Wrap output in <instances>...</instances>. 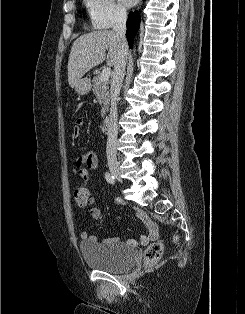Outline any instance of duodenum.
<instances>
[{"label":"duodenum","instance_id":"obj_1","mask_svg":"<svg viewBox=\"0 0 245 314\" xmlns=\"http://www.w3.org/2000/svg\"><path fill=\"white\" fill-rule=\"evenodd\" d=\"M102 127L105 132H110L111 130V118L106 116L102 121Z\"/></svg>","mask_w":245,"mask_h":314}]
</instances>
